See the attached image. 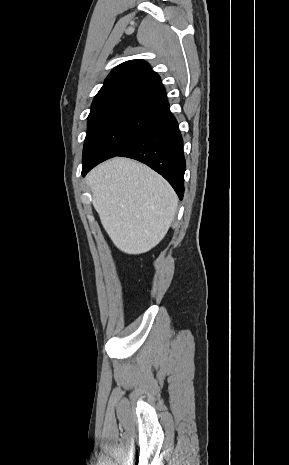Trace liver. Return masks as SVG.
<instances>
[{
	"instance_id": "6515ba94",
	"label": "liver",
	"mask_w": 289,
	"mask_h": 465,
	"mask_svg": "<svg viewBox=\"0 0 289 465\" xmlns=\"http://www.w3.org/2000/svg\"><path fill=\"white\" fill-rule=\"evenodd\" d=\"M86 183L101 224L119 250L142 254L165 237L175 218L178 198L152 169L116 157L92 169Z\"/></svg>"
}]
</instances>
